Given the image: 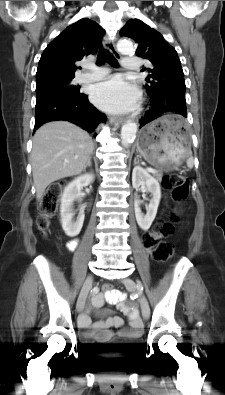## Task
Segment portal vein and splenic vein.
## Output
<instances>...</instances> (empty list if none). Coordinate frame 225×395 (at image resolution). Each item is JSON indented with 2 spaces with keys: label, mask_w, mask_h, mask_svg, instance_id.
Returning <instances> with one entry per match:
<instances>
[{
  "label": "portal vein and splenic vein",
  "mask_w": 225,
  "mask_h": 395,
  "mask_svg": "<svg viewBox=\"0 0 225 395\" xmlns=\"http://www.w3.org/2000/svg\"><path fill=\"white\" fill-rule=\"evenodd\" d=\"M147 170H148L149 172H151V173H157V171H156L155 169H153V168H147Z\"/></svg>",
  "instance_id": "1"
}]
</instances>
